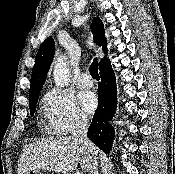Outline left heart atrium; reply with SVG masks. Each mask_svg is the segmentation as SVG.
Instances as JSON below:
<instances>
[{
  "label": "left heart atrium",
  "mask_w": 175,
  "mask_h": 174,
  "mask_svg": "<svg viewBox=\"0 0 175 174\" xmlns=\"http://www.w3.org/2000/svg\"><path fill=\"white\" fill-rule=\"evenodd\" d=\"M79 101L86 113H92L97 107V98L94 93L84 91L79 94Z\"/></svg>",
  "instance_id": "obj_1"
}]
</instances>
